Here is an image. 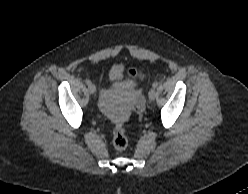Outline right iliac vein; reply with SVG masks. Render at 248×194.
<instances>
[{
    "mask_svg": "<svg viewBox=\"0 0 248 194\" xmlns=\"http://www.w3.org/2000/svg\"><path fill=\"white\" fill-rule=\"evenodd\" d=\"M88 91H89L90 94H94V93L96 92V87H95V85L90 84V85L88 86Z\"/></svg>",
    "mask_w": 248,
    "mask_h": 194,
    "instance_id": "right-iliac-vein-1",
    "label": "right iliac vein"
}]
</instances>
